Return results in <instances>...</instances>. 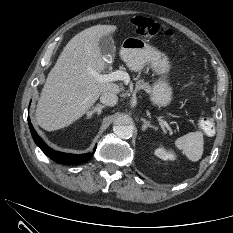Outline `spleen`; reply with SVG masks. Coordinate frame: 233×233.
I'll list each match as a JSON object with an SVG mask.
<instances>
[{
	"instance_id": "obj_1",
	"label": "spleen",
	"mask_w": 233,
	"mask_h": 233,
	"mask_svg": "<svg viewBox=\"0 0 233 233\" xmlns=\"http://www.w3.org/2000/svg\"><path fill=\"white\" fill-rule=\"evenodd\" d=\"M175 146L181 150L190 161L196 162L201 159L203 154V134L200 131L190 132L176 139Z\"/></svg>"
}]
</instances>
